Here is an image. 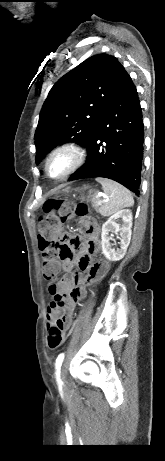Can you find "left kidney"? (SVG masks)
I'll return each instance as SVG.
<instances>
[{
	"label": "left kidney",
	"mask_w": 165,
	"mask_h": 461,
	"mask_svg": "<svg viewBox=\"0 0 165 461\" xmlns=\"http://www.w3.org/2000/svg\"><path fill=\"white\" fill-rule=\"evenodd\" d=\"M120 219L123 222L121 226L117 223ZM131 227L132 212L130 209L117 211L103 224L101 233L102 253L108 260L119 261L124 257L131 240ZM110 233H120V237H117L120 239V248L117 250L112 248L110 240L114 235H110Z\"/></svg>",
	"instance_id": "1"
}]
</instances>
